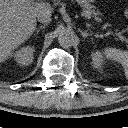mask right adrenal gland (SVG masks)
I'll return each instance as SVG.
<instances>
[{
  "label": "right adrenal gland",
  "instance_id": "obj_1",
  "mask_svg": "<svg viewBox=\"0 0 128 128\" xmlns=\"http://www.w3.org/2000/svg\"><path fill=\"white\" fill-rule=\"evenodd\" d=\"M46 26H47V24H44V25L39 26V29L36 28V33L34 34V36L36 34H38L41 30L44 31V29H45Z\"/></svg>",
  "mask_w": 128,
  "mask_h": 128
}]
</instances>
